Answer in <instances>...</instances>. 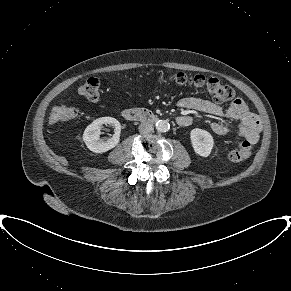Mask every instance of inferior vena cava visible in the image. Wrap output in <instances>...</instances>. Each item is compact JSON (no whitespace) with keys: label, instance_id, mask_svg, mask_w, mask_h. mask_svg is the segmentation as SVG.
Instances as JSON below:
<instances>
[{"label":"inferior vena cava","instance_id":"obj_1","mask_svg":"<svg viewBox=\"0 0 291 291\" xmlns=\"http://www.w3.org/2000/svg\"><path fill=\"white\" fill-rule=\"evenodd\" d=\"M154 130V127L151 123L149 122H143L139 126V131L141 133H150Z\"/></svg>","mask_w":291,"mask_h":291}]
</instances>
